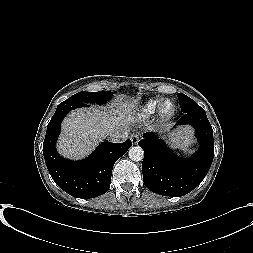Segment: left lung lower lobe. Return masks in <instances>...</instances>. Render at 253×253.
Listing matches in <instances>:
<instances>
[{
	"mask_svg": "<svg viewBox=\"0 0 253 253\" xmlns=\"http://www.w3.org/2000/svg\"><path fill=\"white\" fill-rule=\"evenodd\" d=\"M177 124H190L195 128L200 147L188 159L174 155L154 133H145L138 142L145 154L144 184L163 196H184L195 189L207 175L214 157L213 130L204 110L184 113Z\"/></svg>",
	"mask_w": 253,
	"mask_h": 253,
	"instance_id": "left-lung-lower-lobe-1",
	"label": "left lung lower lobe"
}]
</instances>
